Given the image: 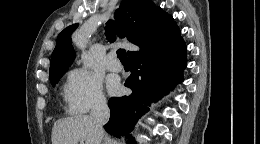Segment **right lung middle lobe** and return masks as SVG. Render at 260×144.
Masks as SVG:
<instances>
[{"label": "right lung middle lobe", "mask_w": 260, "mask_h": 144, "mask_svg": "<svg viewBox=\"0 0 260 144\" xmlns=\"http://www.w3.org/2000/svg\"><path fill=\"white\" fill-rule=\"evenodd\" d=\"M67 70H62L50 75V82L54 86Z\"/></svg>", "instance_id": "right-lung-middle-lobe-1"}]
</instances>
